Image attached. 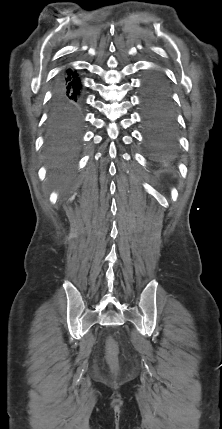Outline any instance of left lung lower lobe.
<instances>
[{
	"label": "left lung lower lobe",
	"instance_id": "left-lung-lower-lobe-1",
	"mask_svg": "<svg viewBox=\"0 0 222 429\" xmlns=\"http://www.w3.org/2000/svg\"><path fill=\"white\" fill-rule=\"evenodd\" d=\"M141 109L148 148L157 154L167 153L176 141L177 125L170 86L158 72L143 82Z\"/></svg>",
	"mask_w": 222,
	"mask_h": 429
}]
</instances>
